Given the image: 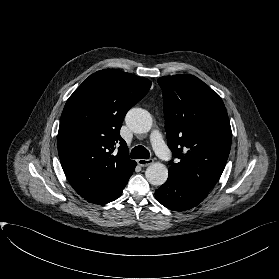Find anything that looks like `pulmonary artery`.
Masks as SVG:
<instances>
[{"mask_svg":"<svg viewBox=\"0 0 279 279\" xmlns=\"http://www.w3.org/2000/svg\"><path fill=\"white\" fill-rule=\"evenodd\" d=\"M151 145L155 150L156 154L165 161H168L172 157V153L169 148L164 143L160 133L158 131H154L150 138Z\"/></svg>","mask_w":279,"mask_h":279,"instance_id":"e3ab8cb5","label":"pulmonary artery"}]
</instances>
